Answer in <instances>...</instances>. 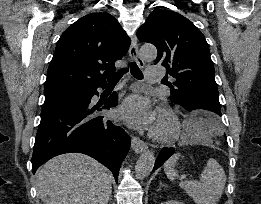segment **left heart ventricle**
I'll use <instances>...</instances> for the list:
<instances>
[{
	"label": "left heart ventricle",
	"mask_w": 261,
	"mask_h": 204,
	"mask_svg": "<svg viewBox=\"0 0 261 204\" xmlns=\"http://www.w3.org/2000/svg\"><path fill=\"white\" fill-rule=\"evenodd\" d=\"M167 126V121L163 117L157 116L153 127L159 131H163L167 128Z\"/></svg>",
	"instance_id": "left-heart-ventricle-1"
}]
</instances>
